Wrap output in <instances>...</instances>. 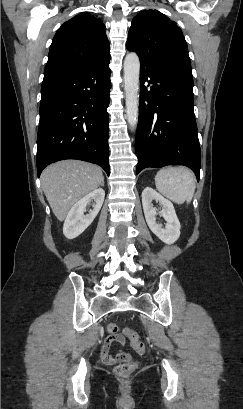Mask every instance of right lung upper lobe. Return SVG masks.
<instances>
[{
	"mask_svg": "<svg viewBox=\"0 0 243 409\" xmlns=\"http://www.w3.org/2000/svg\"><path fill=\"white\" fill-rule=\"evenodd\" d=\"M108 56L109 42L104 23L93 14L80 13L56 32L44 79L83 70Z\"/></svg>",
	"mask_w": 243,
	"mask_h": 409,
	"instance_id": "obj_1",
	"label": "right lung upper lobe"
}]
</instances>
